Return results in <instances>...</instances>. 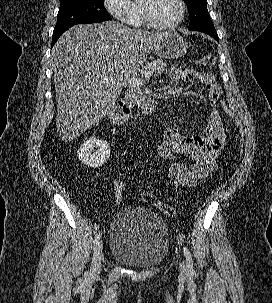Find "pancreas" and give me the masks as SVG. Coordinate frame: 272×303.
I'll use <instances>...</instances> for the list:
<instances>
[{"mask_svg": "<svg viewBox=\"0 0 272 303\" xmlns=\"http://www.w3.org/2000/svg\"><path fill=\"white\" fill-rule=\"evenodd\" d=\"M167 67V64L164 63L162 60L157 59L154 60L152 63H149L147 67L144 68L143 73H146L147 71H152L155 73V75H160L163 71H165V68ZM143 96L142 90L139 85H129L128 89L125 93V97L127 100L130 101H137Z\"/></svg>", "mask_w": 272, "mask_h": 303, "instance_id": "obj_1", "label": "pancreas"}]
</instances>
